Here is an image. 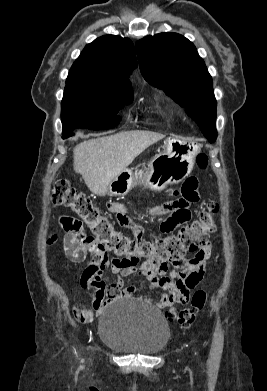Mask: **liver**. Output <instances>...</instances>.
<instances>
[{
    "label": "liver",
    "mask_w": 267,
    "mask_h": 391,
    "mask_svg": "<svg viewBox=\"0 0 267 391\" xmlns=\"http://www.w3.org/2000/svg\"><path fill=\"white\" fill-rule=\"evenodd\" d=\"M164 137L156 132L131 130L84 141L73 150L74 170L82 175L91 192L103 196L117 175Z\"/></svg>",
    "instance_id": "liver-1"
}]
</instances>
